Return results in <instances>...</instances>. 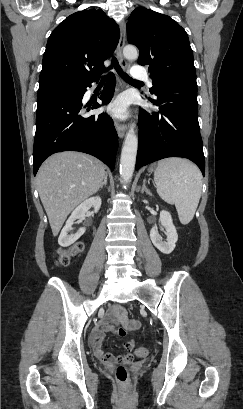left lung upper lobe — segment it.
<instances>
[{"label":"left lung upper lobe","mask_w":243,"mask_h":409,"mask_svg":"<svg viewBox=\"0 0 243 409\" xmlns=\"http://www.w3.org/2000/svg\"><path fill=\"white\" fill-rule=\"evenodd\" d=\"M127 40L139 48V64L149 65L151 93L159 91L168 80L196 79L188 35L169 16L136 8L128 18Z\"/></svg>","instance_id":"5c2ea615"}]
</instances>
